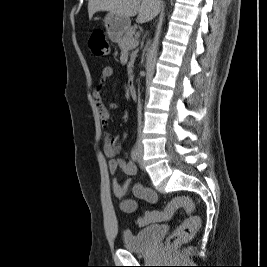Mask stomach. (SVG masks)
<instances>
[{"label":"stomach","mask_w":267,"mask_h":267,"mask_svg":"<svg viewBox=\"0 0 267 267\" xmlns=\"http://www.w3.org/2000/svg\"><path fill=\"white\" fill-rule=\"evenodd\" d=\"M130 19L116 14L108 13L104 18L108 37L113 42H120L123 34L130 27Z\"/></svg>","instance_id":"0dacf381"}]
</instances>
